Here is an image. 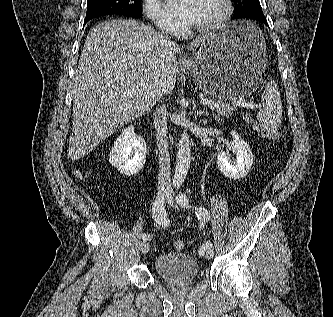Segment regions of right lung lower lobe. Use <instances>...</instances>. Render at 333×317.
<instances>
[{"mask_svg": "<svg viewBox=\"0 0 333 317\" xmlns=\"http://www.w3.org/2000/svg\"><path fill=\"white\" fill-rule=\"evenodd\" d=\"M90 19H92V18H85L84 24L87 23Z\"/></svg>", "mask_w": 333, "mask_h": 317, "instance_id": "1", "label": "right lung lower lobe"}]
</instances>
